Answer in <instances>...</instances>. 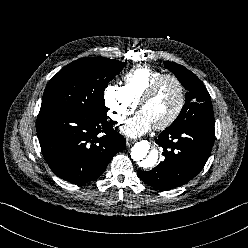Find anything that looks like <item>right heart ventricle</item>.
<instances>
[{
    "label": "right heart ventricle",
    "mask_w": 248,
    "mask_h": 248,
    "mask_svg": "<svg viewBox=\"0 0 248 248\" xmlns=\"http://www.w3.org/2000/svg\"><path fill=\"white\" fill-rule=\"evenodd\" d=\"M162 75V71L149 66H137L123 76L122 87L130 100L137 104L152 82Z\"/></svg>",
    "instance_id": "right-heart-ventricle-1"
}]
</instances>
